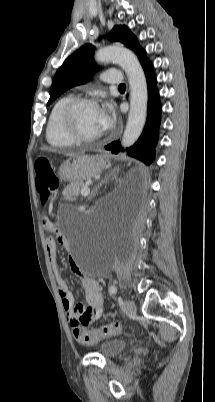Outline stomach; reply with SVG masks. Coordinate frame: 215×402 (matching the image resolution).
Returning a JSON list of instances; mask_svg holds the SVG:
<instances>
[{
    "label": "stomach",
    "mask_w": 215,
    "mask_h": 402,
    "mask_svg": "<svg viewBox=\"0 0 215 402\" xmlns=\"http://www.w3.org/2000/svg\"><path fill=\"white\" fill-rule=\"evenodd\" d=\"M106 161L100 157L76 156L65 161L58 174L64 181L83 182L98 175L106 166Z\"/></svg>",
    "instance_id": "stomach-1"
}]
</instances>
